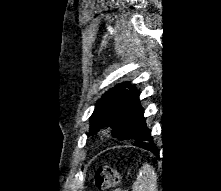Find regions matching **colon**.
<instances>
[{
  "instance_id": "colon-1",
  "label": "colon",
  "mask_w": 221,
  "mask_h": 191,
  "mask_svg": "<svg viewBox=\"0 0 221 191\" xmlns=\"http://www.w3.org/2000/svg\"><path fill=\"white\" fill-rule=\"evenodd\" d=\"M119 172L118 170L110 165L105 164L96 173V183L102 190H109L115 188L119 182ZM114 191H125L122 189H113Z\"/></svg>"
}]
</instances>
